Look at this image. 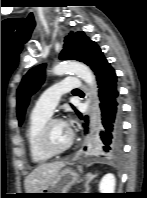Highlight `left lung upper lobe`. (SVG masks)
Returning <instances> with one entry per match:
<instances>
[{
	"instance_id": "obj_1",
	"label": "left lung upper lobe",
	"mask_w": 147,
	"mask_h": 198,
	"mask_svg": "<svg viewBox=\"0 0 147 198\" xmlns=\"http://www.w3.org/2000/svg\"><path fill=\"white\" fill-rule=\"evenodd\" d=\"M94 41L90 40L82 31L70 33L65 37L61 60H78L86 63L87 54ZM46 64L32 68L23 77L17 90V116L19 125L23 123L30 97L40 88L45 79ZM77 114L79 113L76 110Z\"/></svg>"
}]
</instances>
